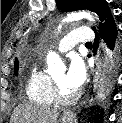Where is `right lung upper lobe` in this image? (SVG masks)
I'll return each instance as SVG.
<instances>
[{
    "instance_id": "obj_1",
    "label": "right lung upper lobe",
    "mask_w": 122,
    "mask_h": 123,
    "mask_svg": "<svg viewBox=\"0 0 122 123\" xmlns=\"http://www.w3.org/2000/svg\"><path fill=\"white\" fill-rule=\"evenodd\" d=\"M15 66H18V61L17 60L15 61Z\"/></svg>"
}]
</instances>
